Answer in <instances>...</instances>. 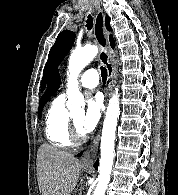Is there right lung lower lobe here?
Returning a JSON list of instances; mask_svg holds the SVG:
<instances>
[{
  "instance_id": "1",
  "label": "right lung lower lobe",
  "mask_w": 178,
  "mask_h": 195,
  "mask_svg": "<svg viewBox=\"0 0 178 195\" xmlns=\"http://www.w3.org/2000/svg\"><path fill=\"white\" fill-rule=\"evenodd\" d=\"M94 167H95V169L98 168V160L95 162Z\"/></svg>"
}]
</instances>
